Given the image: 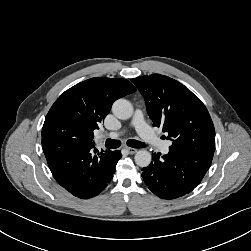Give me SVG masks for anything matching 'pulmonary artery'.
<instances>
[{
    "label": "pulmonary artery",
    "mask_w": 251,
    "mask_h": 251,
    "mask_svg": "<svg viewBox=\"0 0 251 251\" xmlns=\"http://www.w3.org/2000/svg\"><path fill=\"white\" fill-rule=\"evenodd\" d=\"M132 125L136 128L143 140L151 146L157 148L161 153L168 154L171 143L162 141L145 122L143 114L137 110L132 119ZM122 132H111L108 135L112 138L119 136Z\"/></svg>",
    "instance_id": "1"
}]
</instances>
